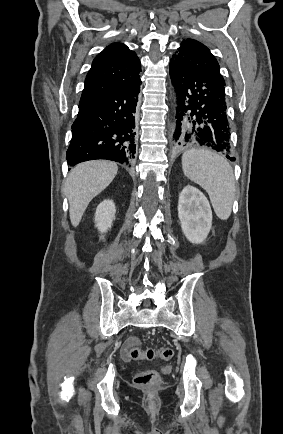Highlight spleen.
Returning a JSON list of instances; mask_svg holds the SVG:
<instances>
[{
  "instance_id": "1",
  "label": "spleen",
  "mask_w": 283,
  "mask_h": 434,
  "mask_svg": "<svg viewBox=\"0 0 283 434\" xmlns=\"http://www.w3.org/2000/svg\"><path fill=\"white\" fill-rule=\"evenodd\" d=\"M182 169L186 177L207 191L216 215L227 220L235 196V179L228 161L211 151L191 149L182 155Z\"/></svg>"
}]
</instances>
